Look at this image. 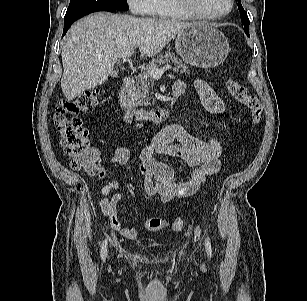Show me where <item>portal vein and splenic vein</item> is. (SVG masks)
I'll return each instance as SVG.
<instances>
[{"mask_svg":"<svg viewBox=\"0 0 307 301\" xmlns=\"http://www.w3.org/2000/svg\"><path fill=\"white\" fill-rule=\"evenodd\" d=\"M134 51H127L122 55V59L126 60L127 58L131 57ZM171 69V65L167 64L162 68H153L149 71V74L154 79H159L163 73L167 70Z\"/></svg>","mask_w":307,"mask_h":301,"instance_id":"18ae733b","label":"portal vein and splenic vein"}]
</instances>
